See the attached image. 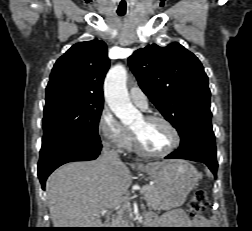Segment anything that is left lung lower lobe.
<instances>
[{
    "label": "left lung lower lobe",
    "mask_w": 252,
    "mask_h": 231,
    "mask_svg": "<svg viewBox=\"0 0 252 231\" xmlns=\"http://www.w3.org/2000/svg\"><path fill=\"white\" fill-rule=\"evenodd\" d=\"M165 158L205 163L216 176L218 163L212 127H198L187 131L181 137L180 147Z\"/></svg>",
    "instance_id": "1"
}]
</instances>
